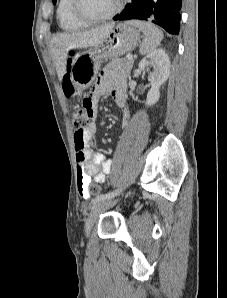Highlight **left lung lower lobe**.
<instances>
[{"label":"left lung lower lobe","instance_id":"obj_1","mask_svg":"<svg viewBox=\"0 0 227 298\" xmlns=\"http://www.w3.org/2000/svg\"><path fill=\"white\" fill-rule=\"evenodd\" d=\"M182 0H129L113 20L139 19L150 21L170 34H178Z\"/></svg>","mask_w":227,"mask_h":298}]
</instances>
